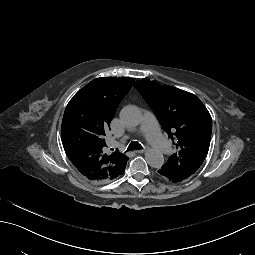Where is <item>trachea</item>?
Returning a JSON list of instances; mask_svg holds the SVG:
<instances>
[{
	"label": "trachea",
	"instance_id": "obj_1",
	"mask_svg": "<svg viewBox=\"0 0 255 255\" xmlns=\"http://www.w3.org/2000/svg\"><path fill=\"white\" fill-rule=\"evenodd\" d=\"M141 149H143V147L138 142H131L126 152L133 151V150H141Z\"/></svg>",
	"mask_w": 255,
	"mask_h": 255
}]
</instances>
